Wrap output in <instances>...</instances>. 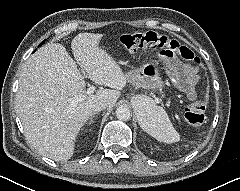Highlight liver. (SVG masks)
Segmentation results:
<instances>
[{
	"label": "liver",
	"mask_w": 240,
	"mask_h": 191,
	"mask_svg": "<svg viewBox=\"0 0 240 191\" xmlns=\"http://www.w3.org/2000/svg\"><path fill=\"white\" fill-rule=\"evenodd\" d=\"M102 34L80 33L71 48L80 68L100 88L87 95L86 82L76 62L58 43L42 46L24 64L16 94V111L29 144L40 154L67 161L73 156L76 137L93 114L98 101L113 107L127 84L125 74L115 60L100 49ZM84 95L71 105L68 99Z\"/></svg>",
	"instance_id": "liver-1"
}]
</instances>
